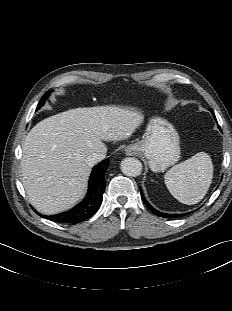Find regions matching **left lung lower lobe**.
Wrapping results in <instances>:
<instances>
[{
    "mask_svg": "<svg viewBox=\"0 0 232 311\" xmlns=\"http://www.w3.org/2000/svg\"><path fill=\"white\" fill-rule=\"evenodd\" d=\"M211 111V113L213 114L215 120H216V117H215V114L213 112L212 109H209ZM219 127V125H218ZM220 129V127H219ZM142 200L144 201V203L146 204V206L149 208V210L151 212H153L155 215L159 216V217H164V218H177V217H181V216H184V214H164V213H160L158 211H156L143 197L142 195Z\"/></svg>",
    "mask_w": 232,
    "mask_h": 311,
    "instance_id": "1",
    "label": "left lung lower lobe"
}]
</instances>
